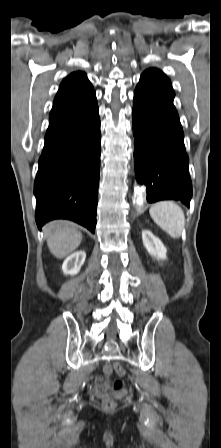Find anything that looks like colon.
Returning <instances> with one entry per match:
<instances>
[{
  "instance_id": "obj_1",
  "label": "colon",
  "mask_w": 221,
  "mask_h": 448,
  "mask_svg": "<svg viewBox=\"0 0 221 448\" xmlns=\"http://www.w3.org/2000/svg\"><path fill=\"white\" fill-rule=\"evenodd\" d=\"M114 371H115L120 377L124 376V374H125L124 369H123L118 363H116V364H114V365L107 363V364H105L104 367H103V374H104L106 377L111 376V375L113 374ZM112 388H113V390L116 391V392L122 391L123 388H124L123 380H122L121 378H117V379H115V380L113 381ZM115 407H116V403H115V401H114L112 398H108V399H106V400L103 402V408H104L106 411H112V410L115 409Z\"/></svg>"
}]
</instances>
